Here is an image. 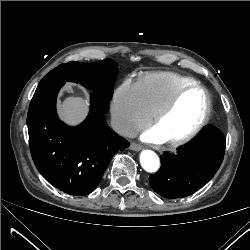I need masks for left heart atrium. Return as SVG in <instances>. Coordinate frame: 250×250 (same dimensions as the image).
Masks as SVG:
<instances>
[{
	"mask_svg": "<svg viewBox=\"0 0 250 250\" xmlns=\"http://www.w3.org/2000/svg\"><path fill=\"white\" fill-rule=\"evenodd\" d=\"M143 139L151 142H159L163 141L158 135H156L153 131H149L143 135Z\"/></svg>",
	"mask_w": 250,
	"mask_h": 250,
	"instance_id": "1",
	"label": "left heart atrium"
}]
</instances>
